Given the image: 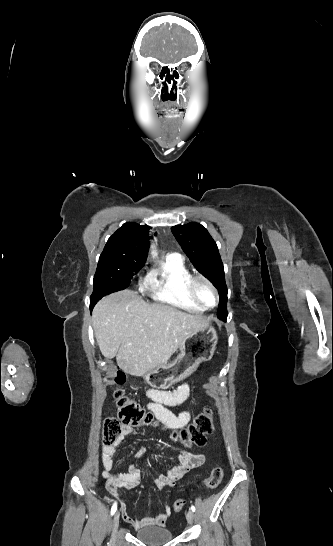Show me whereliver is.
Instances as JSON below:
<instances>
[{
    "mask_svg": "<svg viewBox=\"0 0 333 546\" xmlns=\"http://www.w3.org/2000/svg\"><path fill=\"white\" fill-rule=\"evenodd\" d=\"M92 324L102 354L116 357L123 372L144 376L166 364L189 335L207 326V320L168 305L148 304L137 292L123 290L96 304Z\"/></svg>",
    "mask_w": 333,
    "mask_h": 546,
    "instance_id": "liver-1",
    "label": "liver"
}]
</instances>
